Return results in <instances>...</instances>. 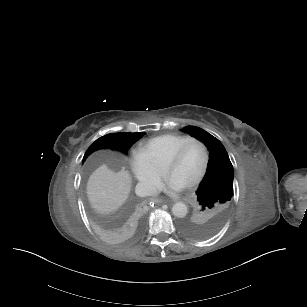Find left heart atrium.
<instances>
[{"mask_svg":"<svg viewBox=\"0 0 307 307\" xmlns=\"http://www.w3.org/2000/svg\"><path fill=\"white\" fill-rule=\"evenodd\" d=\"M185 185L176 181L175 179L168 177L165 178L163 181L155 183L152 185L153 191H164L169 194H174L181 192L185 189Z\"/></svg>","mask_w":307,"mask_h":307,"instance_id":"1","label":"left heart atrium"}]
</instances>
